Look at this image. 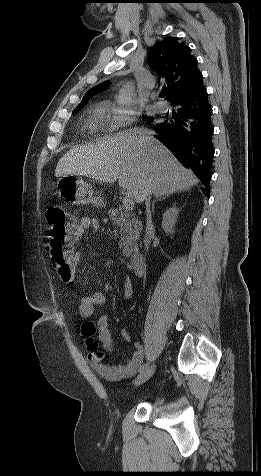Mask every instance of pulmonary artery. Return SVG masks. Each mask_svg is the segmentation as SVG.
I'll use <instances>...</instances> for the list:
<instances>
[{
	"label": "pulmonary artery",
	"instance_id": "pulmonary-artery-1",
	"mask_svg": "<svg viewBox=\"0 0 261 476\" xmlns=\"http://www.w3.org/2000/svg\"><path fill=\"white\" fill-rule=\"evenodd\" d=\"M154 106H155V108H156L158 111H160V112H164V111H166V109H167L165 103L162 102V101H157V102H155V103H154Z\"/></svg>",
	"mask_w": 261,
	"mask_h": 476
}]
</instances>
